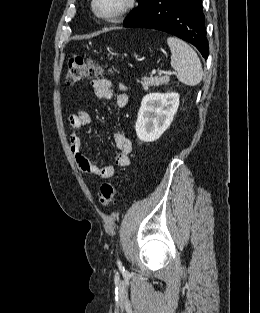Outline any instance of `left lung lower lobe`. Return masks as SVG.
I'll return each mask as SVG.
<instances>
[{"label": "left lung lower lobe", "mask_w": 260, "mask_h": 313, "mask_svg": "<svg viewBox=\"0 0 260 313\" xmlns=\"http://www.w3.org/2000/svg\"><path fill=\"white\" fill-rule=\"evenodd\" d=\"M202 0H150L124 27L152 28L171 33L193 44L204 58L208 41L204 28Z\"/></svg>", "instance_id": "left-lung-lower-lobe-1"}]
</instances>
